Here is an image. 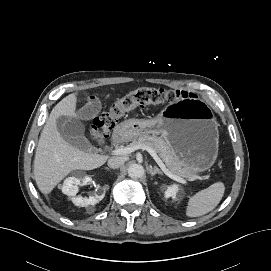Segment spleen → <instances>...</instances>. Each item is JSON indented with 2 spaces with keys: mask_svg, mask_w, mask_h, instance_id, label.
Returning <instances> with one entry per match:
<instances>
[{
  "mask_svg": "<svg viewBox=\"0 0 271 271\" xmlns=\"http://www.w3.org/2000/svg\"><path fill=\"white\" fill-rule=\"evenodd\" d=\"M225 191L222 182H216L189 198L186 216L199 217L212 211L221 201Z\"/></svg>",
  "mask_w": 271,
  "mask_h": 271,
  "instance_id": "3e777b00",
  "label": "spleen"
}]
</instances>
